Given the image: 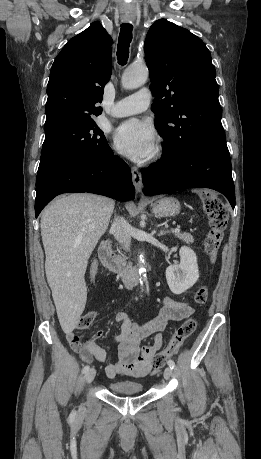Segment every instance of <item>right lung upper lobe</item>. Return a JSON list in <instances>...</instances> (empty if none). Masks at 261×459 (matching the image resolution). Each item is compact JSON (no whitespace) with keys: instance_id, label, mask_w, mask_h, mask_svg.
<instances>
[{"instance_id":"cb5924a9","label":"right lung upper lobe","mask_w":261,"mask_h":459,"mask_svg":"<svg viewBox=\"0 0 261 459\" xmlns=\"http://www.w3.org/2000/svg\"><path fill=\"white\" fill-rule=\"evenodd\" d=\"M111 44L105 29L93 23L64 46L50 72L44 129L101 114L96 104L111 75Z\"/></svg>"}]
</instances>
